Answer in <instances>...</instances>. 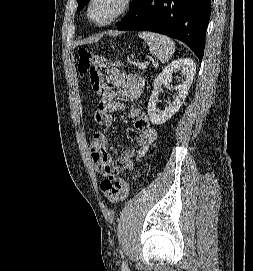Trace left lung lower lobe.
<instances>
[{
  "mask_svg": "<svg viewBox=\"0 0 253 271\" xmlns=\"http://www.w3.org/2000/svg\"><path fill=\"white\" fill-rule=\"evenodd\" d=\"M211 0H136L118 26L122 31H152L187 44L202 61Z\"/></svg>",
  "mask_w": 253,
  "mask_h": 271,
  "instance_id": "obj_1",
  "label": "left lung lower lobe"
}]
</instances>
